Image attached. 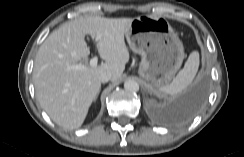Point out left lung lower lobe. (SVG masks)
Segmentation results:
<instances>
[{
    "mask_svg": "<svg viewBox=\"0 0 244 157\" xmlns=\"http://www.w3.org/2000/svg\"><path fill=\"white\" fill-rule=\"evenodd\" d=\"M205 97V85L203 83L185 93L179 100L175 119L187 120L195 115L201 107Z\"/></svg>",
    "mask_w": 244,
    "mask_h": 157,
    "instance_id": "0a47b994",
    "label": "left lung lower lobe"
}]
</instances>
